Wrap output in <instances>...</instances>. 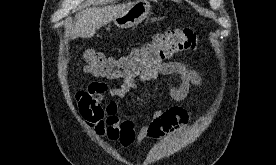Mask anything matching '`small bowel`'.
I'll return each instance as SVG.
<instances>
[{"mask_svg": "<svg viewBox=\"0 0 276 165\" xmlns=\"http://www.w3.org/2000/svg\"><path fill=\"white\" fill-rule=\"evenodd\" d=\"M174 74L180 77V82L170 90V96L175 101L184 100L191 85L200 87L203 84L199 73L187 63L164 62L148 76L123 80L118 87L110 88L101 81L91 82L86 90L77 92L75 96L79 112L99 138L116 142L123 148H128L135 142L140 145L148 139H159L189 124L190 116L184 108L158 109L137 131L132 119H122L119 116V106L114 99L124 98L137 87L138 82ZM105 94L111 100L104 102Z\"/></svg>", "mask_w": 276, "mask_h": 165, "instance_id": "1", "label": "small bowel"}]
</instances>
